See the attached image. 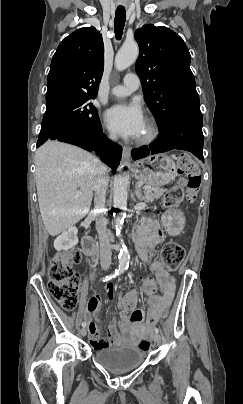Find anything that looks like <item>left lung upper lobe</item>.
I'll return each mask as SVG.
<instances>
[{"label":"left lung upper lobe","mask_w":243,"mask_h":404,"mask_svg":"<svg viewBox=\"0 0 243 404\" xmlns=\"http://www.w3.org/2000/svg\"><path fill=\"white\" fill-rule=\"evenodd\" d=\"M135 39L140 48L135 70L158 127L178 113H201L191 56L182 38L169 28L149 24L135 32Z\"/></svg>","instance_id":"left-lung-upper-lobe-1"}]
</instances>
